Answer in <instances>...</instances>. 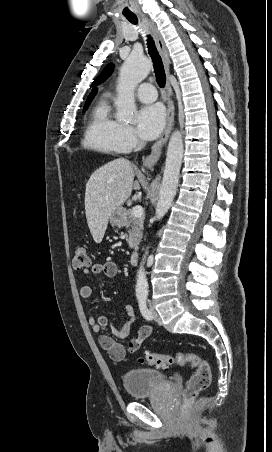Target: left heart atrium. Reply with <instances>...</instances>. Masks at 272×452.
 Returning a JSON list of instances; mask_svg holds the SVG:
<instances>
[{"instance_id":"obj_1","label":"left heart atrium","mask_w":272,"mask_h":452,"mask_svg":"<svg viewBox=\"0 0 272 452\" xmlns=\"http://www.w3.org/2000/svg\"><path fill=\"white\" fill-rule=\"evenodd\" d=\"M166 122L164 108L160 104L143 107L137 117V129L144 139H154L163 130Z\"/></svg>"}]
</instances>
